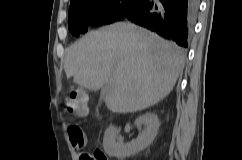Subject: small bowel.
I'll return each instance as SVG.
<instances>
[{
  "instance_id": "obj_1",
  "label": "small bowel",
  "mask_w": 242,
  "mask_h": 160,
  "mask_svg": "<svg viewBox=\"0 0 242 160\" xmlns=\"http://www.w3.org/2000/svg\"><path fill=\"white\" fill-rule=\"evenodd\" d=\"M87 113H88V111H85V112H78L77 114L79 115V116H86L87 115ZM77 147V146H76ZM84 155V153H80L79 154V160H82V156Z\"/></svg>"
}]
</instances>
